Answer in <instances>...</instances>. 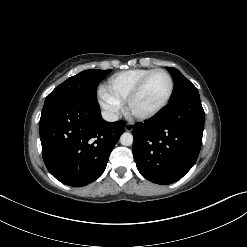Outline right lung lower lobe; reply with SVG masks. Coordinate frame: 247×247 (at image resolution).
Here are the masks:
<instances>
[{"instance_id": "right-lung-lower-lobe-1", "label": "right lung lower lobe", "mask_w": 247, "mask_h": 247, "mask_svg": "<svg viewBox=\"0 0 247 247\" xmlns=\"http://www.w3.org/2000/svg\"><path fill=\"white\" fill-rule=\"evenodd\" d=\"M124 129V121L109 123L101 117L98 102L73 98L46 101L40 139L48 171L69 186L95 181Z\"/></svg>"}]
</instances>
